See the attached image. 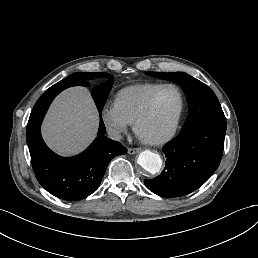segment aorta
I'll return each instance as SVG.
<instances>
[{
  "mask_svg": "<svg viewBox=\"0 0 258 258\" xmlns=\"http://www.w3.org/2000/svg\"><path fill=\"white\" fill-rule=\"evenodd\" d=\"M138 164L147 172L156 174L162 167V160L158 153L145 150L139 154Z\"/></svg>",
  "mask_w": 258,
  "mask_h": 258,
  "instance_id": "762f6f07",
  "label": "aorta"
}]
</instances>
